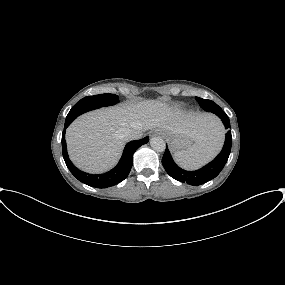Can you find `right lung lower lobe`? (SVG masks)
Segmentation results:
<instances>
[{
    "label": "right lung lower lobe",
    "instance_id": "right-lung-lower-lobe-1",
    "mask_svg": "<svg viewBox=\"0 0 285 285\" xmlns=\"http://www.w3.org/2000/svg\"><path fill=\"white\" fill-rule=\"evenodd\" d=\"M69 124L70 123H65L64 131L62 133V153L65 163L75 178H77L80 182L95 188H107L123 181L131 170L134 152L141 145L146 144L149 141V138L145 137L140 140L129 142L125 146L123 155L114 169L104 174H89L76 168L68 157L65 141V129L69 126Z\"/></svg>",
    "mask_w": 285,
    "mask_h": 285
}]
</instances>
